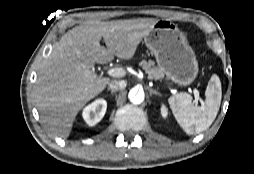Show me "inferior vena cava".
<instances>
[{
  "instance_id": "602c4592",
  "label": "inferior vena cava",
  "mask_w": 254,
  "mask_h": 174,
  "mask_svg": "<svg viewBox=\"0 0 254 174\" xmlns=\"http://www.w3.org/2000/svg\"><path fill=\"white\" fill-rule=\"evenodd\" d=\"M126 85H127V83L124 80H112L108 84L109 89L113 90L115 92L124 89L126 87Z\"/></svg>"
}]
</instances>
